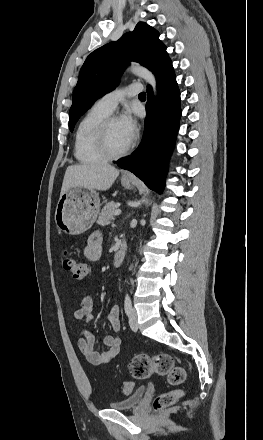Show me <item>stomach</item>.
<instances>
[{"label":"stomach","instance_id":"obj_1","mask_svg":"<svg viewBox=\"0 0 263 440\" xmlns=\"http://www.w3.org/2000/svg\"><path fill=\"white\" fill-rule=\"evenodd\" d=\"M122 185L131 189L133 182L123 178ZM100 210L99 195L95 190L71 187L60 195L55 211L57 228L70 235H79L93 225Z\"/></svg>","mask_w":263,"mask_h":440}]
</instances>
